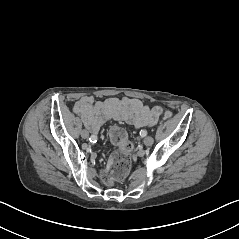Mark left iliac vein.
Returning <instances> with one entry per match:
<instances>
[{
	"label": "left iliac vein",
	"instance_id": "4c4485c4",
	"mask_svg": "<svg viewBox=\"0 0 239 239\" xmlns=\"http://www.w3.org/2000/svg\"><path fill=\"white\" fill-rule=\"evenodd\" d=\"M143 142L146 146H151L154 142V139L151 136H147L144 138Z\"/></svg>",
	"mask_w": 239,
	"mask_h": 239
}]
</instances>
